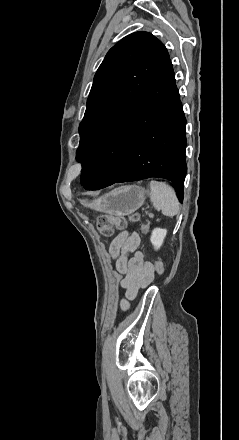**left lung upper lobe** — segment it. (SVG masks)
I'll return each mask as SVG.
<instances>
[{
  "label": "left lung upper lobe",
  "mask_w": 239,
  "mask_h": 440,
  "mask_svg": "<svg viewBox=\"0 0 239 440\" xmlns=\"http://www.w3.org/2000/svg\"><path fill=\"white\" fill-rule=\"evenodd\" d=\"M170 57L151 33L135 32L117 42L98 68L79 126L76 158L84 168L108 132L135 105Z\"/></svg>",
  "instance_id": "1"
}]
</instances>
